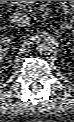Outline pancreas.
Instances as JSON below:
<instances>
[{"instance_id": "pancreas-1", "label": "pancreas", "mask_w": 74, "mask_h": 122, "mask_svg": "<svg viewBox=\"0 0 74 122\" xmlns=\"http://www.w3.org/2000/svg\"><path fill=\"white\" fill-rule=\"evenodd\" d=\"M33 3L34 1H15V4L23 10H25L26 8H30Z\"/></svg>"}]
</instances>
